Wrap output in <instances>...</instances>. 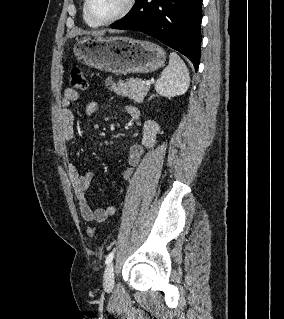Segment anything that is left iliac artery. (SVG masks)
Masks as SVG:
<instances>
[{
	"instance_id": "44dca946",
	"label": "left iliac artery",
	"mask_w": 284,
	"mask_h": 319,
	"mask_svg": "<svg viewBox=\"0 0 284 319\" xmlns=\"http://www.w3.org/2000/svg\"><path fill=\"white\" fill-rule=\"evenodd\" d=\"M114 258V251L110 252L106 257V264H109Z\"/></svg>"
}]
</instances>
